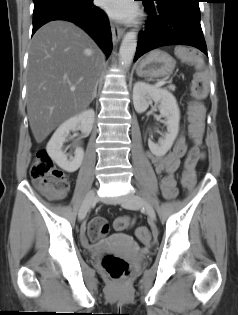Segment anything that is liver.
Wrapping results in <instances>:
<instances>
[{
    "label": "liver",
    "mask_w": 238,
    "mask_h": 315,
    "mask_svg": "<svg viewBox=\"0 0 238 315\" xmlns=\"http://www.w3.org/2000/svg\"><path fill=\"white\" fill-rule=\"evenodd\" d=\"M103 60L94 41L73 23L51 21L35 33L27 66V113L37 143L89 106Z\"/></svg>",
    "instance_id": "obj_1"
}]
</instances>
